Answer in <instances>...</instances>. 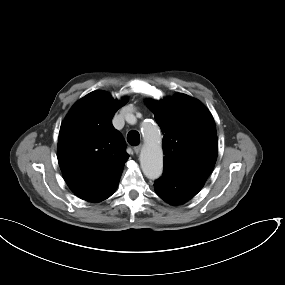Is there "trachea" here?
Instances as JSON below:
<instances>
[{
    "mask_svg": "<svg viewBox=\"0 0 285 285\" xmlns=\"http://www.w3.org/2000/svg\"><path fill=\"white\" fill-rule=\"evenodd\" d=\"M127 141L132 146L138 145L140 142V134L137 131H130L127 135Z\"/></svg>",
    "mask_w": 285,
    "mask_h": 285,
    "instance_id": "1",
    "label": "trachea"
}]
</instances>
